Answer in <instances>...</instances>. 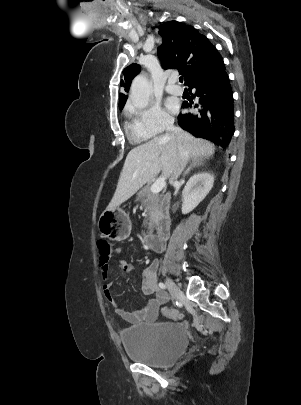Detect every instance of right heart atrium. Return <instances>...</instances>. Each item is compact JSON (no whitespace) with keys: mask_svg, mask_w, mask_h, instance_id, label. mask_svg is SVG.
<instances>
[{"mask_svg":"<svg viewBox=\"0 0 301 405\" xmlns=\"http://www.w3.org/2000/svg\"><path fill=\"white\" fill-rule=\"evenodd\" d=\"M133 114L138 126L150 136L162 133L173 124V117L157 103L137 109Z\"/></svg>","mask_w":301,"mask_h":405,"instance_id":"obj_1","label":"right heart atrium"}]
</instances>
